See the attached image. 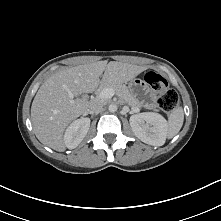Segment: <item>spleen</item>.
<instances>
[{"mask_svg": "<svg viewBox=\"0 0 221 221\" xmlns=\"http://www.w3.org/2000/svg\"><path fill=\"white\" fill-rule=\"evenodd\" d=\"M184 121V113L181 107L175 108L168 117V137L172 138L181 129Z\"/></svg>", "mask_w": 221, "mask_h": 221, "instance_id": "1", "label": "spleen"}]
</instances>
